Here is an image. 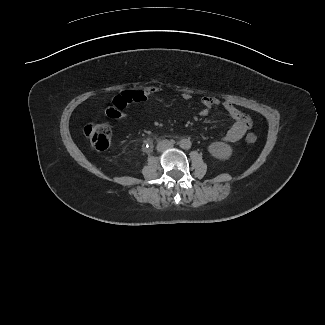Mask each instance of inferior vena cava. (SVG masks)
Returning <instances> with one entry per match:
<instances>
[{"label":"inferior vena cava","mask_w":325,"mask_h":325,"mask_svg":"<svg viewBox=\"0 0 325 325\" xmlns=\"http://www.w3.org/2000/svg\"><path fill=\"white\" fill-rule=\"evenodd\" d=\"M173 147V143L169 140H162L157 145V150L159 152H164L167 149H170Z\"/></svg>","instance_id":"602c4592"}]
</instances>
